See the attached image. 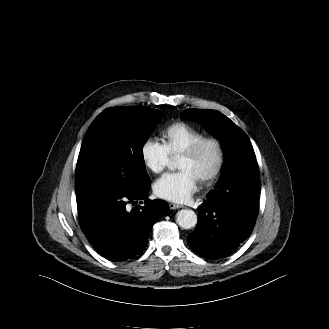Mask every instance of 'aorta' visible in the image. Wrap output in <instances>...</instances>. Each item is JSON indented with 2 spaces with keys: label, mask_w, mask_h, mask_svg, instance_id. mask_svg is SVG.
<instances>
[{
  "label": "aorta",
  "mask_w": 329,
  "mask_h": 329,
  "mask_svg": "<svg viewBox=\"0 0 329 329\" xmlns=\"http://www.w3.org/2000/svg\"><path fill=\"white\" fill-rule=\"evenodd\" d=\"M176 221L183 229H191L197 224V215L193 210L182 209L176 214Z\"/></svg>",
  "instance_id": "1"
}]
</instances>
